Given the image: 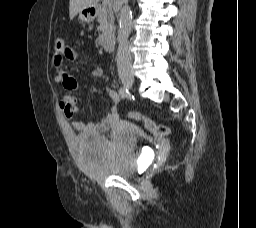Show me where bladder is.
Here are the masks:
<instances>
[{"label":"bladder","instance_id":"1","mask_svg":"<svg viewBox=\"0 0 256 228\" xmlns=\"http://www.w3.org/2000/svg\"><path fill=\"white\" fill-rule=\"evenodd\" d=\"M135 131L115 132L110 139L91 134L76 138V150L86 171L95 178H128L137 170Z\"/></svg>","mask_w":256,"mask_h":228}]
</instances>
